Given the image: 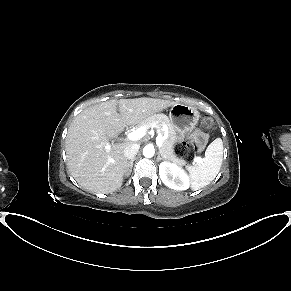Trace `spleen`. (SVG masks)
<instances>
[{"label":"spleen","mask_w":291,"mask_h":291,"mask_svg":"<svg viewBox=\"0 0 291 291\" xmlns=\"http://www.w3.org/2000/svg\"><path fill=\"white\" fill-rule=\"evenodd\" d=\"M222 159L223 143L221 138H217L207 147L201 163L189 169L193 190L205 187L215 179L220 171Z\"/></svg>","instance_id":"spleen-1"}]
</instances>
